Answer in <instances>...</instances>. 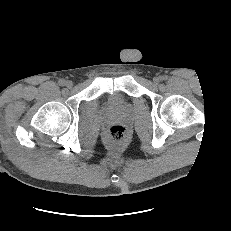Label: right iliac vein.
Instances as JSON below:
<instances>
[{
  "instance_id": "obj_1",
  "label": "right iliac vein",
  "mask_w": 231,
  "mask_h": 231,
  "mask_svg": "<svg viewBox=\"0 0 231 231\" xmlns=\"http://www.w3.org/2000/svg\"><path fill=\"white\" fill-rule=\"evenodd\" d=\"M65 85L68 87V88H71L73 86V82L72 81H66Z\"/></svg>"
}]
</instances>
